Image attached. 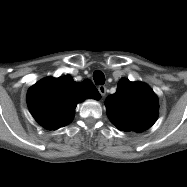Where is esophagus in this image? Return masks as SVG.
Masks as SVG:
<instances>
[{"mask_svg":"<svg viewBox=\"0 0 187 187\" xmlns=\"http://www.w3.org/2000/svg\"><path fill=\"white\" fill-rule=\"evenodd\" d=\"M98 91L101 94V96H104L106 94V87L104 85H99Z\"/></svg>","mask_w":187,"mask_h":187,"instance_id":"esophagus-1","label":"esophagus"}]
</instances>
